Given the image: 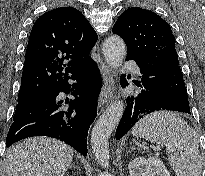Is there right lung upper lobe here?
I'll list each match as a JSON object with an SVG mask.
<instances>
[{
    "label": "right lung upper lobe",
    "instance_id": "cb5924a9",
    "mask_svg": "<svg viewBox=\"0 0 205 176\" xmlns=\"http://www.w3.org/2000/svg\"><path fill=\"white\" fill-rule=\"evenodd\" d=\"M96 40V32L75 8L40 16L30 33L18 99L45 93L88 65Z\"/></svg>",
    "mask_w": 205,
    "mask_h": 176
}]
</instances>
